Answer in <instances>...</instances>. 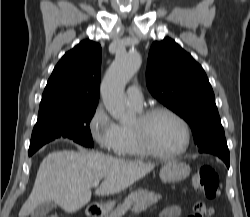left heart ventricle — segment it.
<instances>
[{
  "instance_id": "1",
  "label": "left heart ventricle",
  "mask_w": 250,
  "mask_h": 217,
  "mask_svg": "<svg viewBox=\"0 0 250 217\" xmlns=\"http://www.w3.org/2000/svg\"><path fill=\"white\" fill-rule=\"evenodd\" d=\"M138 126V119L133 127ZM146 135L152 146L160 152L169 153L182 147L184 134L181 125L170 115L159 113L147 123Z\"/></svg>"
}]
</instances>
